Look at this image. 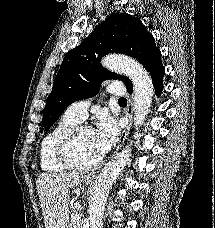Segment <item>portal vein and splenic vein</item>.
I'll return each instance as SVG.
<instances>
[{"instance_id":"portal-vein-and-splenic-vein-1","label":"portal vein and splenic vein","mask_w":215,"mask_h":228,"mask_svg":"<svg viewBox=\"0 0 215 228\" xmlns=\"http://www.w3.org/2000/svg\"><path fill=\"white\" fill-rule=\"evenodd\" d=\"M72 220H80L79 214H76V212H74V214H72Z\"/></svg>"}]
</instances>
